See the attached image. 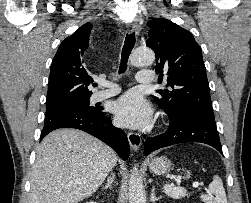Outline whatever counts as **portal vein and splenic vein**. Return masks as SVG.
<instances>
[{
	"instance_id": "obj_1",
	"label": "portal vein and splenic vein",
	"mask_w": 251,
	"mask_h": 203,
	"mask_svg": "<svg viewBox=\"0 0 251 203\" xmlns=\"http://www.w3.org/2000/svg\"><path fill=\"white\" fill-rule=\"evenodd\" d=\"M199 185H200V184H199L198 182H193V184H192V186H193L194 188H197Z\"/></svg>"
}]
</instances>
